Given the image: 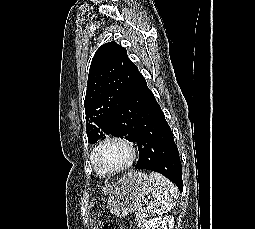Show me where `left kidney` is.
I'll return each mask as SVG.
<instances>
[{"mask_svg": "<svg viewBox=\"0 0 255 229\" xmlns=\"http://www.w3.org/2000/svg\"><path fill=\"white\" fill-rule=\"evenodd\" d=\"M174 217L164 216L156 217L145 222L141 229H173Z\"/></svg>", "mask_w": 255, "mask_h": 229, "instance_id": "1", "label": "left kidney"}]
</instances>
